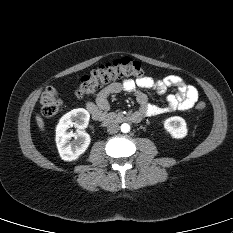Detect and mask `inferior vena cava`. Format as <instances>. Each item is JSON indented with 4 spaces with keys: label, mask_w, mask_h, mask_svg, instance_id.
Segmentation results:
<instances>
[{
    "label": "inferior vena cava",
    "mask_w": 233,
    "mask_h": 233,
    "mask_svg": "<svg viewBox=\"0 0 233 233\" xmlns=\"http://www.w3.org/2000/svg\"><path fill=\"white\" fill-rule=\"evenodd\" d=\"M119 129H120V126L117 123H111L107 127V131L109 134L117 133L119 131Z\"/></svg>",
    "instance_id": "602c4592"
}]
</instances>
